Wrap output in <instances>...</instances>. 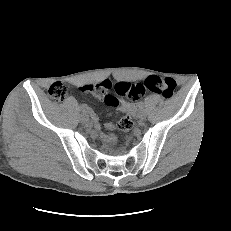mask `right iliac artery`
Instances as JSON below:
<instances>
[{
    "instance_id": "82829eb1",
    "label": "right iliac artery",
    "mask_w": 231,
    "mask_h": 231,
    "mask_svg": "<svg viewBox=\"0 0 231 231\" xmlns=\"http://www.w3.org/2000/svg\"><path fill=\"white\" fill-rule=\"evenodd\" d=\"M79 108L82 112H87L88 110V108L85 105H81Z\"/></svg>"
}]
</instances>
